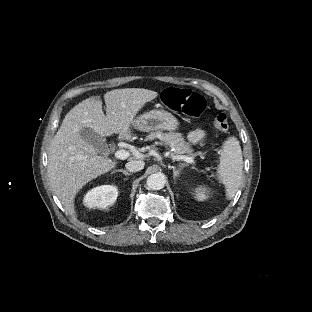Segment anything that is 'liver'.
I'll use <instances>...</instances> for the list:
<instances>
[{
    "instance_id": "liver-1",
    "label": "liver",
    "mask_w": 312,
    "mask_h": 312,
    "mask_svg": "<svg viewBox=\"0 0 312 312\" xmlns=\"http://www.w3.org/2000/svg\"><path fill=\"white\" fill-rule=\"evenodd\" d=\"M157 96V92L143 88L114 89L104 94L106 115L97 97L83 100L65 115L49 147L47 172L55 195L69 214H75L78 191L116 165L97 155L81 138L80 130L90 127L101 136L125 135L137 112Z\"/></svg>"
}]
</instances>
